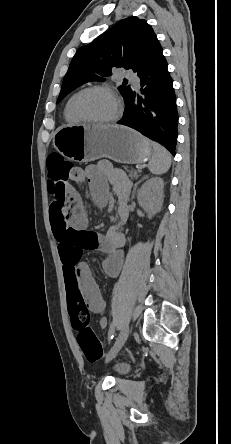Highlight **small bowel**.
<instances>
[{"label": "small bowel", "instance_id": "c3829d8e", "mask_svg": "<svg viewBox=\"0 0 231 444\" xmlns=\"http://www.w3.org/2000/svg\"><path fill=\"white\" fill-rule=\"evenodd\" d=\"M71 181L78 186L88 182L93 200L100 206L107 202L112 187L118 199V218L106 233L100 234L88 230V219L82 200L71 185ZM70 182L50 207V225L58 242L67 290L69 288L77 290L91 312L101 313L106 303L90 268L81 260L82 251H101L104 254L102 261L104 272L110 277L119 274L123 262L122 248L125 245L122 225L127 217L126 201L130 185L124 175L113 170L106 162L86 170H79V174L72 176ZM106 324V319L101 318L100 326L105 328Z\"/></svg>", "mask_w": 231, "mask_h": 444}]
</instances>
